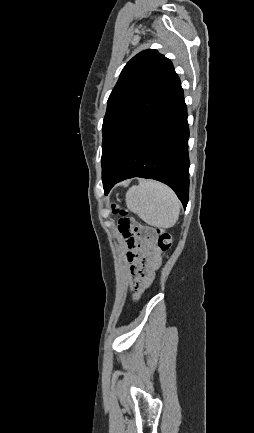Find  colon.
I'll list each match as a JSON object with an SVG mask.
<instances>
[{"mask_svg": "<svg viewBox=\"0 0 254 433\" xmlns=\"http://www.w3.org/2000/svg\"><path fill=\"white\" fill-rule=\"evenodd\" d=\"M112 211L114 214L120 215L118 228L123 239L129 246L134 244V237L136 235L154 236L156 234L159 249L163 252H167L171 249L174 238L173 235L168 231L164 229H157L154 231L150 228L142 227L136 218L129 215L118 205L114 204L112 206Z\"/></svg>", "mask_w": 254, "mask_h": 433, "instance_id": "colon-1", "label": "colon"}]
</instances>
